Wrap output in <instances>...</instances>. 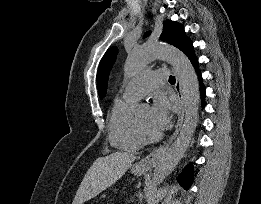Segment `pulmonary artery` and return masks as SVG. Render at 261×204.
I'll use <instances>...</instances> for the list:
<instances>
[{"mask_svg": "<svg viewBox=\"0 0 261 204\" xmlns=\"http://www.w3.org/2000/svg\"><path fill=\"white\" fill-rule=\"evenodd\" d=\"M167 77L168 72L165 68L155 71H143L127 84L122 97L138 100L153 88L164 83Z\"/></svg>", "mask_w": 261, "mask_h": 204, "instance_id": "pulmonary-artery-1", "label": "pulmonary artery"}]
</instances>
